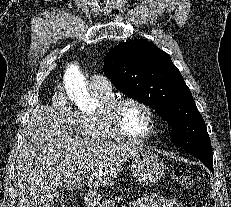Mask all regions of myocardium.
Returning a JSON list of instances; mask_svg holds the SVG:
<instances>
[{
    "instance_id": "obj_1",
    "label": "myocardium",
    "mask_w": 231,
    "mask_h": 207,
    "mask_svg": "<svg viewBox=\"0 0 231 207\" xmlns=\"http://www.w3.org/2000/svg\"><path fill=\"white\" fill-rule=\"evenodd\" d=\"M128 103H134L142 107L148 114L150 119L149 132L141 137H133L126 133L121 121L120 111L121 108ZM105 122L108 129L120 140L131 142V143H143L152 139L157 132V115L154 109L143 100L135 97H118L115 98L105 109L104 112Z\"/></svg>"
}]
</instances>
